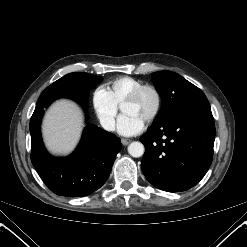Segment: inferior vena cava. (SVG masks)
Segmentation results:
<instances>
[{
    "label": "inferior vena cava",
    "instance_id": "inferior-vena-cava-1",
    "mask_svg": "<svg viewBox=\"0 0 247 247\" xmlns=\"http://www.w3.org/2000/svg\"><path fill=\"white\" fill-rule=\"evenodd\" d=\"M101 126L107 131L115 130V120L111 117H104L100 119Z\"/></svg>",
    "mask_w": 247,
    "mask_h": 247
}]
</instances>
